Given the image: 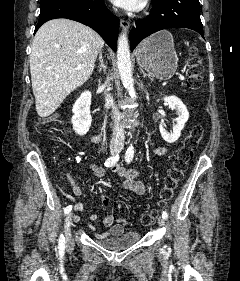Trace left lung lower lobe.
Here are the masks:
<instances>
[{
	"label": "left lung lower lobe",
	"instance_id": "0a47b994",
	"mask_svg": "<svg viewBox=\"0 0 240 281\" xmlns=\"http://www.w3.org/2000/svg\"><path fill=\"white\" fill-rule=\"evenodd\" d=\"M167 28H189L204 38L199 0H152L151 13L136 21L130 31L131 50L143 38Z\"/></svg>",
	"mask_w": 240,
	"mask_h": 281
}]
</instances>
